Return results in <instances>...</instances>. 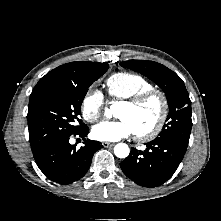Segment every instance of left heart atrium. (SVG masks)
<instances>
[{"label": "left heart atrium", "instance_id": "1", "mask_svg": "<svg viewBox=\"0 0 221 221\" xmlns=\"http://www.w3.org/2000/svg\"><path fill=\"white\" fill-rule=\"evenodd\" d=\"M134 133L131 124L122 118L115 121H103L92 128L91 134L95 140L116 142Z\"/></svg>", "mask_w": 221, "mask_h": 221}]
</instances>
